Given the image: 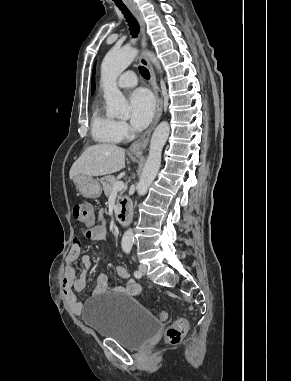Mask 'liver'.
<instances>
[{"label":"liver","mask_w":291,"mask_h":381,"mask_svg":"<svg viewBox=\"0 0 291 381\" xmlns=\"http://www.w3.org/2000/svg\"><path fill=\"white\" fill-rule=\"evenodd\" d=\"M125 165V150L114 144L88 147L73 163L69 177L77 175L102 176L120 171Z\"/></svg>","instance_id":"6515ba94"}]
</instances>
